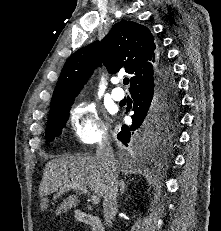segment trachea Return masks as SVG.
<instances>
[{"instance_id": "obj_1", "label": "trachea", "mask_w": 221, "mask_h": 231, "mask_svg": "<svg viewBox=\"0 0 221 231\" xmlns=\"http://www.w3.org/2000/svg\"><path fill=\"white\" fill-rule=\"evenodd\" d=\"M123 83H124V85L129 84V79L128 78H124Z\"/></svg>"}]
</instances>
